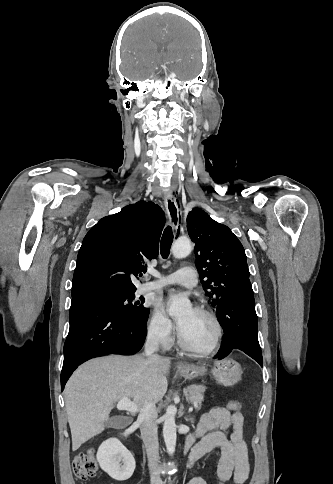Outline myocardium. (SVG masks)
Returning <instances> with one entry per match:
<instances>
[{
  "label": "myocardium",
  "instance_id": "1",
  "mask_svg": "<svg viewBox=\"0 0 333 484\" xmlns=\"http://www.w3.org/2000/svg\"><path fill=\"white\" fill-rule=\"evenodd\" d=\"M193 310H195L198 313H201V314L208 316L212 320V322L214 323L215 328H216V335H215L214 341L211 344V346L208 347L207 349H202V350L196 349V348L190 346L185 341V339L183 338V336L180 332V329L178 327V330H177L178 344L186 352H189V353H191L195 356H198V357H206V356L213 354L217 350V348L219 347L221 340H222V337H223V327H222V324H221L218 316L212 310L205 308V307H202V306H196L195 308H193Z\"/></svg>",
  "mask_w": 333,
  "mask_h": 484
}]
</instances>
